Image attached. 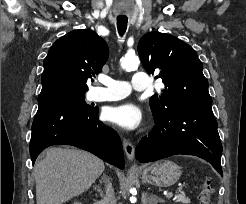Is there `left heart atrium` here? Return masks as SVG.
Instances as JSON below:
<instances>
[{
	"label": "left heart atrium",
	"instance_id": "obj_1",
	"mask_svg": "<svg viewBox=\"0 0 246 204\" xmlns=\"http://www.w3.org/2000/svg\"><path fill=\"white\" fill-rule=\"evenodd\" d=\"M104 117L109 122L126 130H134L142 122V112L133 103L108 107L104 111Z\"/></svg>",
	"mask_w": 246,
	"mask_h": 204
}]
</instances>
